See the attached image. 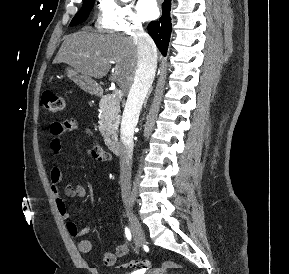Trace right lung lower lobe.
<instances>
[{
  "mask_svg": "<svg viewBox=\"0 0 289 274\" xmlns=\"http://www.w3.org/2000/svg\"><path fill=\"white\" fill-rule=\"evenodd\" d=\"M171 0H165L162 4V16L159 21H152L148 25V33L153 38L161 53L165 56L168 49L170 34L172 31L171 24Z\"/></svg>",
  "mask_w": 289,
  "mask_h": 274,
  "instance_id": "right-lung-lower-lobe-1",
  "label": "right lung lower lobe"
}]
</instances>
